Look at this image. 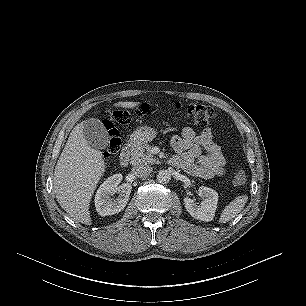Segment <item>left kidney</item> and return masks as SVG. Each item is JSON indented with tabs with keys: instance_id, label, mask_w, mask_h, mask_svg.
Returning a JSON list of instances; mask_svg holds the SVG:
<instances>
[{
	"instance_id": "1",
	"label": "left kidney",
	"mask_w": 306,
	"mask_h": 306,
	"mask_svg": "<svg viewBox=\"0 0 306 306\" xmlns=\"http://www.w3.org/2000/svg\"><path fill=\"white\" fill-rule=\"evenodd\" d=\"M199 195L203 198L199 205L195 200L185 197V208L195 219L205 222L212 221L217 208L218 193L211 188L201 186L199 188Z\"/></svg>"
}]
</instances>
